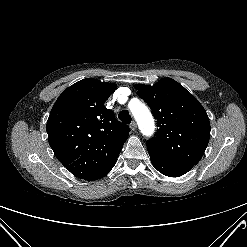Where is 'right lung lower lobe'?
I'll list each match as a JSON object with an SVG mask.
<instances>
[{
    "label": "right lung lower lobe",
    "instance_id": "1",
    "mask_svg": "<svg viewBox=\"0 0 247 247\" xmlns=\"http://www.w3.org/2000/svg\"><path fill=\"white\" fill-rule=\"evenodd\" d=\"M115 163L116 161H114L113 163H111L110 165H108L107 167H105L104 169H102L101 171H99L98 173H96L95 175H93L87 180H97V179L104 177L113 168Z\"/></svg>",
    "mask_w": 247,
    "mask_h": 247
}]
</instances>
